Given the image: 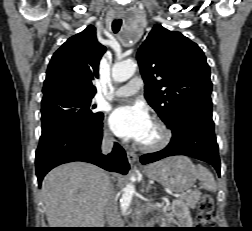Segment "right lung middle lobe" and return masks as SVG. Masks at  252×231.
Instances as JSON below:
<instances>
[{"label":"right lung middle lobe","mask_w":252,"mask_h":231,"mask_svg":"<svg viewBox=\"0 0 252 231\" xmlns=\"http://www.w3.org/2000/svg\"><path fill=\"white\" fill-rule=\"evenodd\" d=\"M92 98L66 93L42 99V131L62 124L99 125L103 114L94 110L96 105L92 103Z\"/></svg>","instance_id":"right-lung-middle-lobe-1"}]
</instances>
